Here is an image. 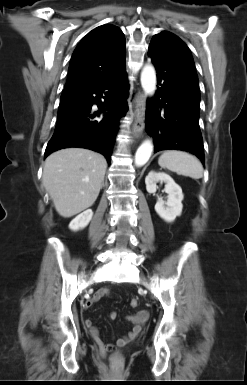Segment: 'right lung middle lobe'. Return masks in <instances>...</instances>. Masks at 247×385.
Segmentation results:
<instances>
[{
    "mask_svg": "<svg viewBox=\"0 0 247 385\" xmlns=\"http://www.w3.org/2000/svg\"><path fill=\"white\" fill-rule=\"evenodd\" d=\"M80 92L70 91V92H63L60 98V103H63L75 96H77Z\"/></svg>",
    "mask_w": 247,
    "mask_h": 385,
    "instance_id": "dd1d6c3e",
    "label": "right lung middle lobe"
}]
</instances>
